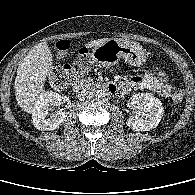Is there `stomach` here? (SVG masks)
I'll list each match as a JSON object with an SVG mask.
<instances>
[{
	"label": "stomach",
	"mask_w": 195,
	"mask_h": 195,
	"mask_svg": "<svg viewBox=\"0 0 195 195\" xmlns=\"http://www.w3.org/2000/svg\"><path fill=\"white\" fill-rule=\"evenodd\" d=\"M123 58L134 66H141L145 62V50L138 43L109 38L105 43L93 48L92 62L99 67H109L117 64Z\"/></svg>",
	"instance_id": "1"
}]
</instances>
